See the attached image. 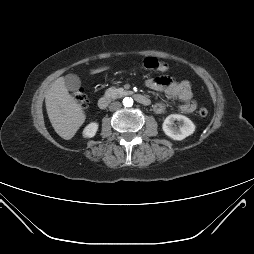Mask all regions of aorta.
I'll return each instance as SVG.
<instances>
[{"mask_svg":"<svg viewBox=\"0 0 254 254\" xmlns=\"http://www.w3.org/2000/svg\"><path fill=\"white\" fill-rule=\"evenodd\" d=\"M123 105L125 107H131L133 105V99L132 98H129V97H125L123 99Z\"/></svg>","mask_w":254,"mask_h":254,"instance_id":"obj_1","label":"aorta"}]
</instances>
